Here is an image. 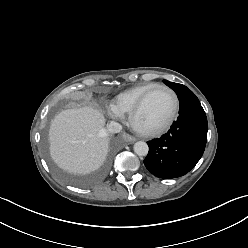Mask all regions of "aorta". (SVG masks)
<instances>
[{"mask_svg":"<svg viewBox=\"0 0 248 248\" xmlns=\"http://www.w3.org/2000/svg\"><path fill=\"white\" fill-rule=\"evenodd\" d=\"M149 147L146 142L138 141L134 144V152L139 156H146L148 154Z\"/></svg>","mask_w":248,"mask_h":248,"instance_id":"1","label":"aorta"}]
</instances>
